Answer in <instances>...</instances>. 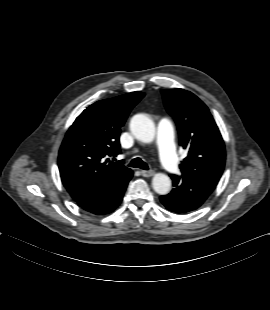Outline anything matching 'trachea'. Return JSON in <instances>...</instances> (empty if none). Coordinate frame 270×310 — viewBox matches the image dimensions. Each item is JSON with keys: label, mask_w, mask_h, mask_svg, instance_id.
I'll use <instances>...</instances> for the list:
<instances>
[{"label": "trachea", "mask_w": 270, "mask_h": 310, "mask_svg": "<svg viewBox=\"0 0 270 310\" xmlns=\"http://www.w3.org/2000/svg\"><path fill=\"white\" fill-rule=\"evenodd\" d=\"M128 166L130 167H134V168H140L143 170H148L149 167L147 165V163H145L143 160H141V158H135L133 159Z\"/></svg>", "instance_id": "1"}]
</instances>
